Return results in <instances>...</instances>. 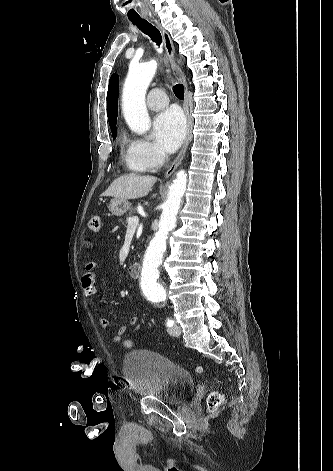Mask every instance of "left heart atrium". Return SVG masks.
<instances>
[{
	"instance_id": "1",
	"label": "left heart atrium",
	"mask_w": 333,
	"mask_h": 471,
	"mask_svg": "<svg viewBox=\"0 0 333 471\" xmlns=\"http://www.w3.org/2000/svg\"><path fill=\"white\" fill-rule=\"evenodd\" d=\"M153 130L157 146L164 152L172 153L185 136L186 121L178 109L171 108L155 118Z\"/></svg>"
}]
</instances>
